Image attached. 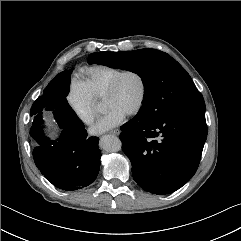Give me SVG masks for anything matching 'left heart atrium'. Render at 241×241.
<instances>
[{"label":"left heart atrium","mask_w":241,"mask_h":241,"mask_svg":"<svg viewBox=\"0 0 241 241\" xmlns=\"http://www.w3.org/2000/svg\"><path fill=\"white\" fill-rule=\"evenodd\" d=\"M126 117V113L118 108L112 107L91 129L92 134H101L120 125Z\"/></svg>","instance_id":"1"}]
</instances>
